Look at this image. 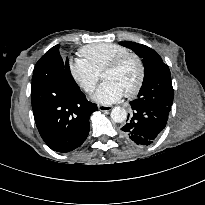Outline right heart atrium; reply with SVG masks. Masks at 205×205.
Returning a JSON list of instances; mask_svg holds the SVG:
<instances>
[{
	"label": "right heart atrium",
	"instance_id": "obj_1",
	"mask_svg": "<svg viewBox=\"0 0 205 205\" xmlns=\"http://www.w3.org/2000/svg\"><path fill=\"white\" fill-rule=\"evenodd\" d=\"M69 73L74 83L87 94L94 91L100 76L99 73L81 58H73L70 61Z\"/></svg>",
	"mask_w": 205,
	"mask_h": 205
}]
</instances>
